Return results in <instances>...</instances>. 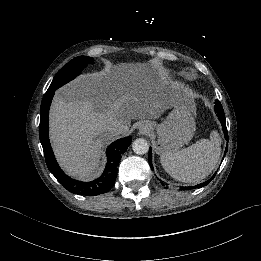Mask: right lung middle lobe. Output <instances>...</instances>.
Segmentation results:
<instances>
[{"label":"right lung middle lobe","instance_id":"right-lung-middle-lobe-1","mask_svg":"<svg viewBox=\"0 0 261 261\" xmlns=\"http://www.w3.org/2000/svg\"><path fill=\"white\" fill-rule=\"evenodd\" d=\"M92 57L78 56L68 62L54 77L52 83L50 84L47 93L57 90L62 85L68 83L76 76H78L81 71L88 65L93 63Z\"/></svg>","mask_w":261,"mask_h":261}]
</instances>
